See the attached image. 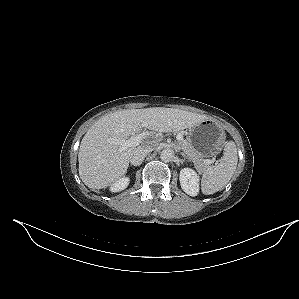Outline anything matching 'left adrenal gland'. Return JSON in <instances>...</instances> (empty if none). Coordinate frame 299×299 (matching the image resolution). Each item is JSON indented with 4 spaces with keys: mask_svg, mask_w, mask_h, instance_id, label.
Instances as JSON below:
<instances>
[{
    "mask_svg": "<svg viewBox=\"0 0 299 299\" xmlns=\"http://www.w3.org/2000/svg\"><path fill=\"white\" fill-rule=\"evenodd\" d=\"M181 155H182L184 158H187V156H186L184 153H181Z\"/></svg>",
    "mask_w": 299,
    "mask_h": 299,
    "instance_id": "obj_1",
    "label": "left adrenal gland"
}]
</instances>
